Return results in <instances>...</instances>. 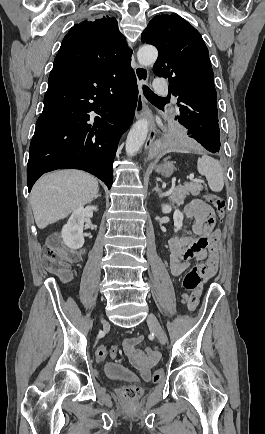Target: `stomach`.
Instances as JSON below:
<instances>
[{
    "label": "stomach",
    "instance_id": "0dacf381",
    "mask_svg": "<svg viewBox=\"0 0 265 434\" xmlns=\"http://www.w3.org/2000/svg\"><path fill=\"white\" fill-rule=\"evenodd\" d=\"M174 170L175 168L172 162H166V164H162V166H158V168H156V172H159L161 176H171Z\"/></svg>",
    "mask_w": 265,
    "mask_h": 434
}]
</instances>
